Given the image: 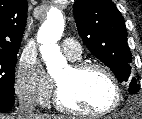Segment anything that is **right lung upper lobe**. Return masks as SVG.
I'll return each mask as SVG.
<instances>
[{
    "instance_id": "right-lung-upper-lobe-1",
    "label": "right lung upper lobe",
    "mask_w": 142,
    "mask_h": 119,
    "mask_svg": "<svg viewBox=\"0 0 142 119\" xmlns=\"http://www.w3.org/2000/svg\"><path fill=\"white\" fill-rule=\"evenodd\" d=\"M27 10V0H0V52L19 50Z\"/></svg>"
}]
</instances>
